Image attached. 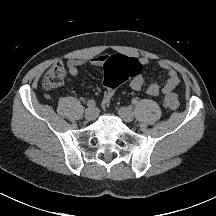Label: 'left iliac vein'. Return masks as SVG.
Here are the masks:
<instances>
[{
  "instance_id": "left-iliac-vein-1",
  "label": "left iliac vein",
  "mask_w": 216,
  "mask_h": 216,
  "mask_svg": "<svg viewBox=\"0 0 216 216\" xmlns=\"http://www.w3.org/2000/svg\"><path fill=\"white\" fill-rule=\"evenodd\" d=\"M118 114L125 122H132L134 119V114L132 110L127 107L119 108Z\"/></svg>"
}]
</instances>
